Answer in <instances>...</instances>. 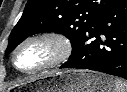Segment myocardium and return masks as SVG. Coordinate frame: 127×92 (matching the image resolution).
<instances>
[{"instance_id":"f54148a6","label":"myocardium","mask_w":127,"mask_h":92,"mask_svg":"<svg viewBox=\"0 0 127 92\" xmlns=\"http://www.w3.org/2000/svg\"><path fill=\"white\" fill-rule=\"evenodd\" d=\"M35 41H46L51 43L55 49L54 57L51 59V61H49L47 64L41 67L31 70H23L16 63L17 55L25 45ZM72 51H73L72 41L66 34L53 30L42 31L27 36L17 45L12 55V63L14 67L20 72L25 74H33L48 69H52L61 65L71 56Z\"/></svg>"}]
</instances>
